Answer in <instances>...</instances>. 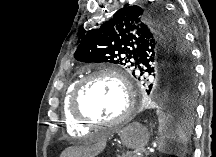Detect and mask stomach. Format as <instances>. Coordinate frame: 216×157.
Returning a JSON list of instances; mask_svg holds the SVG:
<instances>
[{"label":"stomach","instance_id":"stomach-1","mask_svg":"<svg viewBox=\"0 0 216 157\" xmlns=\"http://www.w3.org/2000/svg\"><path fill=\"white\" fill-rule=\"evenodd\" d=\"M123 143L132 149L142 148L147 145L150 132L139 123H132L119 132Z\"/></svg>","mask_w":216,"mask_h":157}]
</instances>
